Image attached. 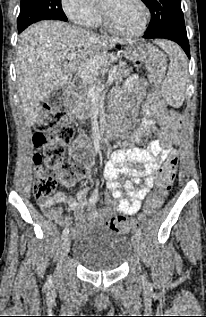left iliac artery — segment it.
Returning a JSON list of instances; mask_svg holds the SVG:
<instances>
[{
	"label": "left iliac artery",
	"mask_w": 206,
	"mask_h": 317,
	"mask_svg": "<svg viewBox=\"0 0 206 317\" xmlns=\"http://www.w3.org/2000/svg\"><path fill=\"white\" fill-rule=\"evenodd\" d=\"M136 236H137L139 239L141 238L142 232H141L140 229H137V230H136Z\"/></svg>",
	"instance_id": "obj_1"
}]
</instances>
